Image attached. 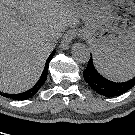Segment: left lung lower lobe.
Instances as JSON below:
<instances>
[{
  "label": "left lung lower lobe",
  "instance_id": "1",
  "mask_svg": "<svg viewBox=\"0 0 135 135\" xmlns=\"http://www.w3.org/2000/svg\"><path fill=\"white\" fill-rule=\"evenodd\" d=\"M83 76L92 89L98 94L106 97L119 96L130 90L135 85V78L120 83L104 78L96 71L92 58H90L88 66L83 72Z\"/></svg>",
  "mask_w": 135,
  "mask_h": 135
}]
</instances>
